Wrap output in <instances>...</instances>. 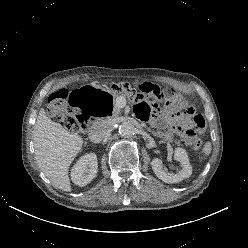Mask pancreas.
I'll return each instance as SVG.
<instances>
[{"mask_svg":"<svg viewBox=\"0 0 248 248\" xmlns=\"http://www.w3.org/2000/svg\"><path fill=\"white\" fill-rule=\"evenodd\" d=\"M120 113V108L115 106L114 108V112H113V116H117L118 114ZM153 135L154 136H157V137H160V138H163L167 141H175L176 143H179L178 141L174 140V135L173 133L169 132V131H152Z\"/></svg>","mask_w":248,"mask_h":248,"instance_id":"pancreas-1","label":"pancreas"}]
</instances>
